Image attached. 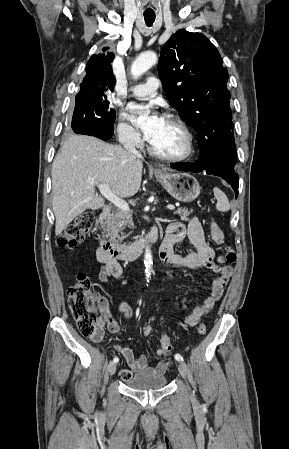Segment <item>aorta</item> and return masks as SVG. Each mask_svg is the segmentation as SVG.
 <instances>
[{
  "mask_svg": "<svg viewBox=\"0 0 289 449\" xmlns=\"http://www.w3.org/2000/svg\"><path fill=\"white\" fill-rule=\"evenodd\" d=\"M157 62V55L153 51H147L139 55L137 59L132 63L131 74L133 78L137 79L150 69ZM145 276L147 281L151 277L152 271V254L150 248L147 246L144 254Z\"/></svg>",
  "mask_w": 289,
  "mask_h": 449,
  "instance_id": "aorta-1",
  "label": "aorta"
}]
</instances>
